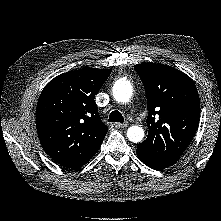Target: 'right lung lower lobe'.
Returning a JSON list of instances; mask_svg holds the SVG:
<instances>
[{"label":"right lung lower lobe","mask_w":221,"mask_h":221,"mask_svg":"<svg viewBox=\"0 0 221 221\" xmlns=\"http://www.w3.org/2000/svg\"><path fill=\"white\" fill-rule=\"evenodd\" d=\"M86 163H87V162H86ZM86 163H83V164L78 165V166H65V167H66V168H79V167L85 165Z\"/></svg>","instance_id":"1"}]
</instances>
